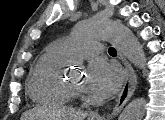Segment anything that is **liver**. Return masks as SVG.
<instances>
[{
	"label": "liver",
	"instance_id": "obj_1",
	"mask_svg": "<svg viewBox=\"0 0 165 120\" xmlns=\"http://www.w3.org/2000/svg\"><path fill=\"white\" fill-rule=\"evenodd\" d=\"M86 116V113L71 108L62 107L46 110L38 107L24 112L21 120H34L37 118L50 120H84Z\"/></svg>",
	"mask_w": 165,
	"mask_h": 120
}]
</instances>
